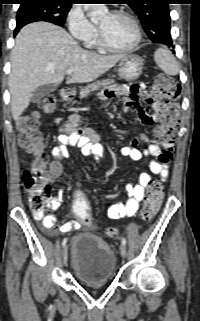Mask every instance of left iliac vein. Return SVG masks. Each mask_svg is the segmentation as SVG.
I'll return each instance as SVG.
<instances>
[{
    "label": "left iliac vein",
    "mask_w": 200,
    "mask_h": 321,
    "mask_svg": "<svg viewBox=\"0 0 200 321\" xmlns=\"http://www.w3.org/2000/svg\"><path fill=\"white\" fill-rule=\"evenodd\" d=\"M120 253H121L122 257H125L127 254L126 246L123 244L120 246Z\"/></svg>",
    "instance_id": "obj_1"
}]
</instances>
